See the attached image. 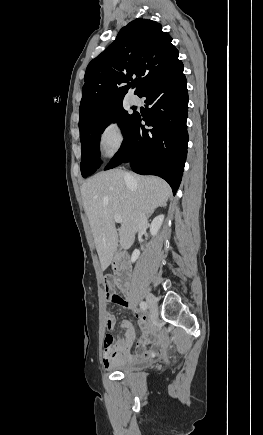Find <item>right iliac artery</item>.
<instances>
[{
  "mask_svg": "<svg viewBox=\"0 0 263 435\" xmlns=\"http://www.w3.org/2000/svg\"><path fill=\"white\" fill-rule=\"evenodd\" d=\"M140 308H141L142 310L146 311L147 308H148L147 303H146V302H141V303H140Z\"/></svg>",
  "mask_w": 263,
  "mask_h": 435,
  "instance_id": "obj_1",
  "label": "right iliac artery"
}]
</instances>
